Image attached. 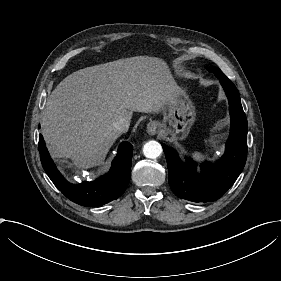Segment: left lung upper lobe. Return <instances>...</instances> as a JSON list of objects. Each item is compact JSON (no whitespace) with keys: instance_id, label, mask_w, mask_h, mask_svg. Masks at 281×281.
<instances>
[{"instance_id":"obj_1","label":"left lung upper lobe","mask_w":281,"mask_h":281,"mask_svg":"<svg viewBox=\"0 0 281 281\" xmlns=\"http://www.w3.org/2000/svg\"><path fill=\"white\" fill-rule=\"evenodd\" d=\"M207 70L213 72L216 76L223 75V72L217 67H209Z\"/></svg>"}]
</instances>
